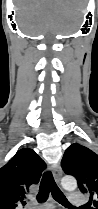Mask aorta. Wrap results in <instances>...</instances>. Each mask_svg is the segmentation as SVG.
<instances>
[{"instance_id": "obj_1", "label": "aorta", "mask_w": 98, "mask_h": 209, "mask_svg": "<svg viewBox=\"0 0 98 209\" xmlns=\"http://www.w3.org/2000/svg\"><path fill=\"white\" fill-rule=\"evenodd\" d=\"M61 185L65 190L72 191L77 188V181L72 176H65L61 180Z\"/></svg>"}]
</instances>
